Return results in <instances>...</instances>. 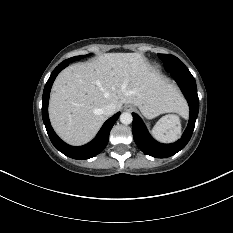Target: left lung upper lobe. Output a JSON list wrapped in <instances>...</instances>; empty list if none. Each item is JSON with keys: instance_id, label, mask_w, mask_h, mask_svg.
<instances>
[{"instance_id": "1", "label": "left lung upper lobe", "mask_w": 233, "mask_h": 233, "mask_svg": "<svg viewBox=\"0 0 233 233\" xmlns=\"http://www.w3.org/2000/svg\"><path fill=\"white\" fill-rule=\"evenodd\" d=\"M167 72H186L187 67L175 56L171 54H159Z\"/></svg>"}]
</instances>
